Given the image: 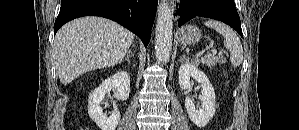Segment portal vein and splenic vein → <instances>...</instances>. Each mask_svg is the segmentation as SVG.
I'll return each instance as SVG.
<instances>
[{
    "mask_svg": "<svg viewBox=\"0 0 299 130\" xmlns=\"http://www.w3.org/2000/svg\"><path fill=\"white\" fill-rule=\"evenodd\" d=\"M217 50L216 49H212V54H216Z\"/></svg>",
    "mask_w": 299,
    "mask_h": 130,
    "instance_id": "1",
    "label": "portal vein and splenic vein"
}]
</instances>
